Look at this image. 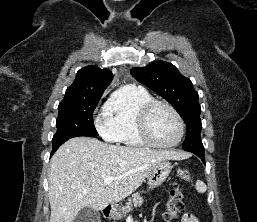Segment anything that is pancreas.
Listing matches in <instances>:
<instances>
[{
  "instance_id": "1",
  "label": "pancreas",
  "mask_w": 257,
  "mask_h": 222,
  "mask_svg": "<svg viewBox=\"0 0 257 222\" xmlns=\"http://www.w3.org/2000/svg\"><path fill=\"white\" fill-rule=\"evenodd\" d=\"M143 203V199L140 196V193H134L132 195V198L128 199V202L126 203V206L123 208L124 213H128L131 211L132 206H141Z\"/></svg>"
}]
</instances>
